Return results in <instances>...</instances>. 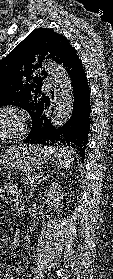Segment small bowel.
Listing matches in <instances>:
<instances>
[{
    "label": "small bowel",
    "mask_w": 113,
    "mask_h": 279,
    "mask_svg": "<svg viewBox=\"0 0 113 279\" xmlns=\"http://www.w3.org/2000/svg\"><path fill=\"white\" fill-rule=\"evenodd\" d=\"M5 189L11 193V195L14 198L15 203L17 204L20 200V190L18 189L17 186H15L13 183H7L5 185ZM4 193V189L0 188V197L3 196ZM0 207H1V203H0ZM3 279H16L15 273L14 272H9L6 273L3 277Z\"/></svg>",
    "instance_id": "obj_1"
}]
</instances>
